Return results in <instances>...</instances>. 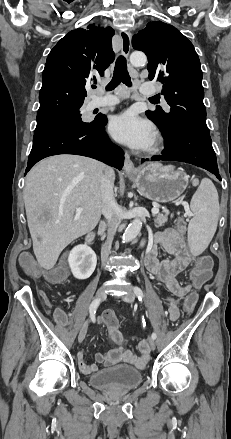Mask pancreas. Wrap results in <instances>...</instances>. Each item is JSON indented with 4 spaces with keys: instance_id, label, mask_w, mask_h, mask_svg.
<instances>
[{
    "instance_id": "obj_1",
    "label": "pancreas",
    "mask_w": 231,
    "mask_h": 439,
    "mask_svg": "<svg viewBox=\"0 0 231 439\" xmlns=\"http://www.w3.org/2000/svg\"><path fill=\"white\" fill-rule=\"evenodd\" d=\"M168 218L166 215L163 214H156L154 216V225L156 228L163 227L165 223L167 222Z\"/></svg>"
}]
</instances>
